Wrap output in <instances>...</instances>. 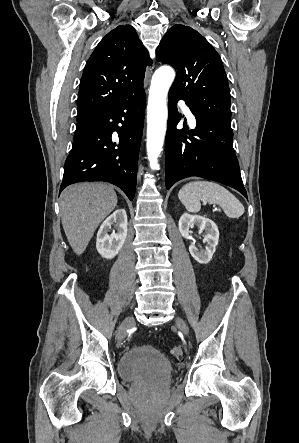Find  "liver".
<instances>
[{
    "label": "liver",
    "instance_id": "6515ba94",
    "mask_svg": "<svg viewBox=\"0 0 299 443\" xmlns=\"http://www.w3.org/2000/svg\"><path fill=\"white\" fill-rule=\"evenodd\" d=\"M116 205V192L103 183H79L61 193L62 226L75 254L85 251L99 224Z\"/></svg>",
    "mask_w": 299,
    "mask_h": 443
}]
</instances>
